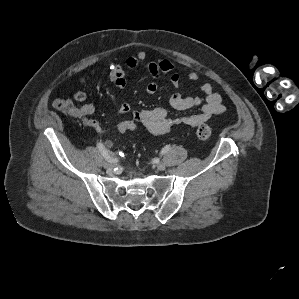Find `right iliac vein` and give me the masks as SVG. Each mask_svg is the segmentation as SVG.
Instances as JSON below:
<instances>
[{
	"label": "right iliac vein",
	"mask_w": 299,
	"mask_h": 299,
	"mask_svg": "<svg viewBox=\"0 0 299 299\" xmlns=\"http://www.w3.org/2000/svg\"><path fill=\"white\" fill-rule=\"evenodd\" d=\"M104 168L108 169V170H112L114 168V164L108 161H105L103 163Z\"/></svg>",
	"instance_id": "63e3f726"
}]
</instances>
